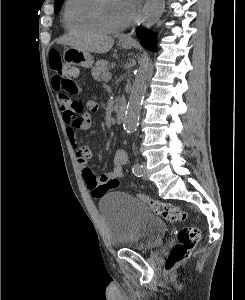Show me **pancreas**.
Instances as JSON below:
<instances>
[{"label":"pancreas","instance_id":"obj_1","mask_svg":"<svg viewBox=\"0 0 245 300\" xmlns=\"http://www.w3.org/2000/svg\"><path fill=\"white\" fill-rule=\"evenodd\" d=\"M108 70H109L108 61L99 60L95 64V67H93L92 69V76L97 81L100 80L108 81L109 80L107 78V75L109 74Z\"/></svg>","mask_w":245,"mask_h":300}]
</instances>
